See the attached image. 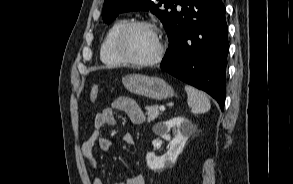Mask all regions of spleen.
<instances>
[{"instance_id": "spleen-1", "label": "spleen", "mask_w": 293, "mask_h": 184, "mask_svg": "<svg viewBox=\"0 0 293 184\" xmlns=\"http://www.w3.org/2000/svg\"><path fill=\"white\" fill-rule=\"evenodd\" d=\"M185 90L188 96V106L191 108L192 113L201 114L210 110L211 104L204 92L189 85L185 86Z\"/></svg>"}]
</instances>
